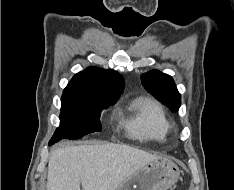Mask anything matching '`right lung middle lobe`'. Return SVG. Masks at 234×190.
<instances>
[{"label": "right lung middle lobe", "mask_w": 234, "mask_h": 190, "mask_svg": "<svg viewBox=\"0 0 234 190\" xmlns=\"http://www.w3.org/2000/svg\"><path fill=\"white\" fill-rule=\"evenodd\" d=\"M112 104L114 103L62 98L60 126L51 138V144L61 139H79L89 133L100 131L101 111Z\"/></svg>", "instance_id": "1"}]
</instances>
